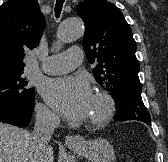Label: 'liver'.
<instances>
[{"instance_id": "1", "label": "liver", "mask_w": 168, "mask_h": 162, "mask_svg": "<svg viewBox=\"0 0 168 162\" xmlns=\"http://www.w3.org/2000/svg\"><path fill=\"white\" fill-rule=\"evenodd\" d=\"M31 133L25 129L0 123V162H31ZM51 146L42 152L39 162H53Z\"/></svg>"}]
</instances>
